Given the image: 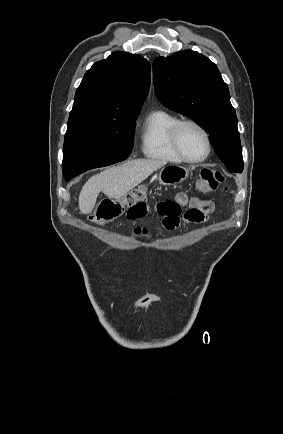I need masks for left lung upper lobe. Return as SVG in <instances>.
Returning <instances> with one entry per match:
<instances>
[{
    "instance_id": "obj_1",
    "label": "left lung upper lobe",
    "mask_w": 283,
    "mask_h": 434,
    "mask_svg": "<svg viewBox=\"0 0 283 434\" xmlns=\"http://www.w3.org/2000/svg\"><path fill=\"white\" fill-rule=\"evenodd\" d=\"M153 74L158 100L199 123L227 169L241 173L244 164L236 112L217 66L202 54L185 50L156 58Z\"/></svg>"
}]
</instances>
